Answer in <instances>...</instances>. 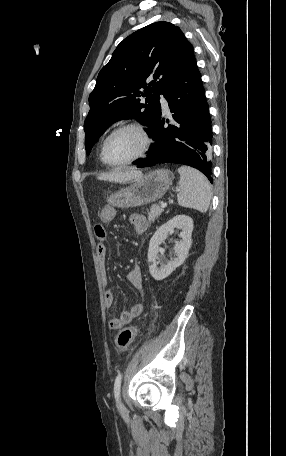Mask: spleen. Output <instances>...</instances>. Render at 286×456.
<instances>
[{
	"label": "spleen",
	"mask_w": 286,
	"mask_h": 456,
	"mask_svg": "<svg viewBox=\"0 0 286 456\" xmlns=\"http://www.w3.org/2000/svg\"><path fill=\"white\" fill-rule=\"evenodd\" d=\"M178 172L180 174L178 204L205 213L211 201V187L207 178L200 171L187 166L180 167Z\"/></svg>",
	"instance_id": "1"
}]
</instances>
